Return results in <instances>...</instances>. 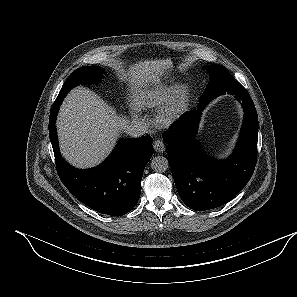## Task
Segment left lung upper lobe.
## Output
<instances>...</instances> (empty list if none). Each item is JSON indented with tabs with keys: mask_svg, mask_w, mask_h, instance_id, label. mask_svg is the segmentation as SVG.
Instances as JSON below:
<instances>
[{
	"mask_svg": "<svg viewBox=\"0 0 297 297\" xmlns=\"http://www.w3.org/2000/svg\"><path fill=\"white\" fill-rule=\"evenodd\" d=\"M210 82L200 98V102H208L215 97L229 93L232 95L248 93L245 88L222 65H206Z\"/></svg>",
	"mask_w": 297,
	"mask_h": 297,
	"instance_id": "obj_1",
	"label": "left lung upper lobe"
}]
</instances>
